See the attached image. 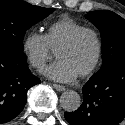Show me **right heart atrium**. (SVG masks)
Masks as SVG:
<instances>
[{"mask_svg": "<svg viewBox=\"0 0 125 125\" xmlns=\"http://www.w3.org/2000/svg\"><path fill=\"white\" fill-rule=\"evenodd\" d=\"M21 47L29 65L37 71L42 70L46 62L53 57V51L45 35L41 33H27Z\"/></svg>", "mask_w": 125, "mask_h": 125, "instance_id": "right-heart-atrium-1", "label": "right heart atrium"}]
</instances>
